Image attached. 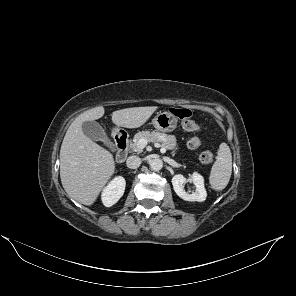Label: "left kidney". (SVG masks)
<instances>
[{"label":"left kidney","instance_id":"5707ae66","mask_svg":"<svg viewBox=\"0 0 296 296\" xmlns=\"http://www.w3.org/2000/svg\"><path fill=\"white\" fill-rule=\"evenodd\" d=\"M187 181L192 182L195 185L194 192H185L184 183ZM172 185L176 194L185 201L203 202L206 200L207 193L204 187V178L197 172H194L189 179H186L181 174L175 175L172 178Z\"/></svg>","mask_w":296,"mask_h":296}]
</instances>
